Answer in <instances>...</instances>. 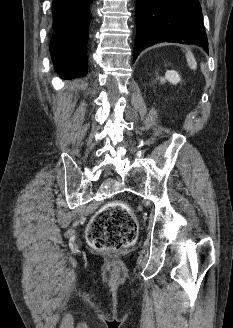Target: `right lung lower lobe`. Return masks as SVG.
<instances>
[{
    "mask_svg": "<svg viewBox=\"0 0 233 328\" xmlns=\"http://www.w3.org/2000/svg\"><path fill=\"white\" fill-rule=\"evenodd\" d=\"M92 0H53L54 35L50 45L54 67L61 78L87 73L86 43Z\"/></svg>",
    "mask_w": 233,
    "mask_h": 328,
    "instance_id": "98d812e1",
    "label": "right lung lower lobe"
}]
</instances>
